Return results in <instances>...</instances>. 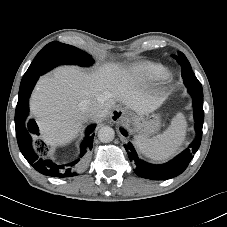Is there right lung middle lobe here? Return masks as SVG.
<instances>
[{"label": "right lung middle lobe", "instance_id": "obj_1", "mask_svg": "<svg viewBox=\"0 0 227 227\" xmlns=\"http://www.w3.org/2000/svg\"><path fill=\"white\" fill-rule=\"evenodd\" d=\"M93 63L92 57L78 48L58 41L47 44L34 58L24 74L21 84L38 77L61 64H77L89 66Z\"/></svg>", "mask_w": 227, "mask_h": 227}]
</instances>
